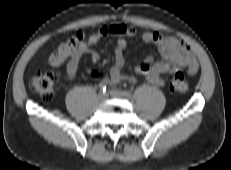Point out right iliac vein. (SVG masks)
<instances>
[{"label": "right iliac vein", "mask_w": 231, "mask_h": 170, "mask_svg": "<svg viewBox=\"0 0 231 170\" xmlns=\"http://www.w3.org/2000/svg\"><path fill=\"white\" fill-rule=\"evenodd\" d=\"M105 97H106V95H105L104 93H99V95H98V98H99L100 100L105 99Z\"/></svg>", "instance_id": "1"}]
</instances>
